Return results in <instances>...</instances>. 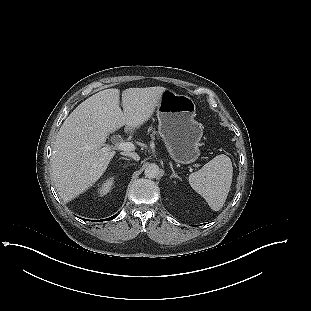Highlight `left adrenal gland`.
Returning <instances> with one entry per match:
<instances>
[{
  "label": "left adrenal gland",
  "instance_id": "a2214340",
  "mask_svg": "<svg viewBox=\"0 0 311 311\" xmlns=\"http://www.w3.org/2000/svg\"><path fill=\"white\" fill-rule=\"evenodd\" d=\"M170 164V168L172 170V175L170 176L171 178H180L174 171L173 169V166H172V163H169Z\"/></svg>",
  "mask_w": 311,
  "mask_h": 311
}]
</instances>
